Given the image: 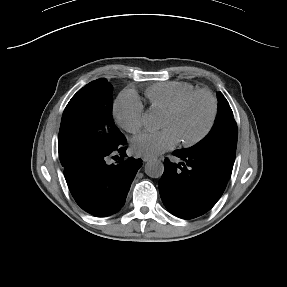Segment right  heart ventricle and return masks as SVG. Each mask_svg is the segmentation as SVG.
Returning <instances> with one entry per match:
<instances>
[{
  "mask_svg": "<svg viewBox=\"0 0 287 287\" xmlns=\"http://www.w3.org/2000/svg\"><path fill=\"white\" fill-rule=\"evenodd\" d=\"M195 90L194 86L182 81L160 82L149 86L145 95L152 110L166 112L179 99Z\"/></svg>",
  "mask_w": 287,
  "mask_h": 287,
  "instance_id": "right-heart-ventricle-1",
  "label": "right heart ventricle"
}]
</instances>
